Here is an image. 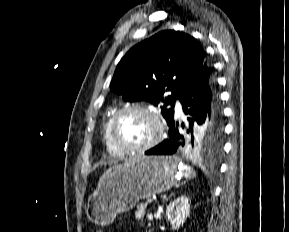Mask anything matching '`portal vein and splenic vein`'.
Segmentation results:
<instances>
[{"label":"portal vein and splenic vein","mask_w":289,"mask_h":232,"mask_svg":"<svg viewBox=\"0 0 289 232\" xmlns=\"http://www.w3.org/2000/svg\"><path fill=\"white\" fill-rule=\"evenodd\" d=\"M155 200H156V198H153V199H148V200H147V203H149V204H150V203H152V202H153V201H155Z\"/></svg>","instance_id":"obj_1"}]
</instances>
